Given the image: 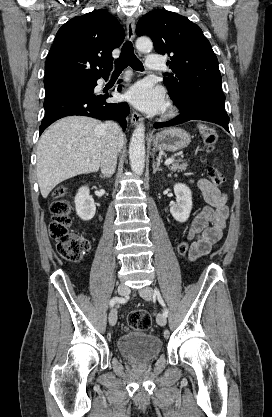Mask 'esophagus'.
Listing matches in <instances>:
<instances>
[{"label":"esophagus","mask_w":272,"mask_h":417,"mask_svg":"<svg viewBox=\"0 0 272 417\" xmlns=\"http://www.w3.org/2000/svg\"><path fill=\"white\" fill-rule=\"evenodd\" d=\"M126 34L127 39L133 41L135 38V20L132 17H129L126 21ZM143 121L142 117L135 111L131 114V123L136 126L141 124Z\"/></svg>","instance_id":"esophagus-1"}]
</instances>
